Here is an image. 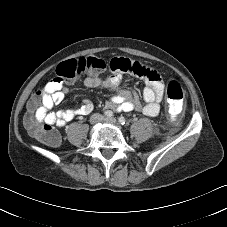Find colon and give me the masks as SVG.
Wrapping results in <instances>:
<instances>
[{"mask_svg": "<svg viewBox=\"0 0 227 227\" xmlns=\"http://www.w3.org/2000/svg\"><path fill=\"white\" fill-rule=\"evenodd\" d=\"M106 67V61L95 55L74 58L61 63L57 68V76L52 78L43 89L36 90L29 100L25 118L29 133L47 146H58L61 141L59 133L51 125L39 124L34 117V109L43 102L46 93L59 89L64 79L75 80L86 71L97 74ZM131 69L133 73L140 76L152 77V70L138 61L132 62ZM184 98L185 94L181 83L176 79H170L166 88V103L172 113L177 114L183 110Z\"/></svg>", "mask_w": 227, "mask_h": 227, "instance_id": "colon-1", "label": "colon"}]
</instances>
